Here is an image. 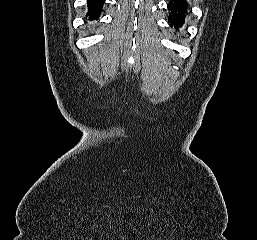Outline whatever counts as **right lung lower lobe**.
I'll return each mask as SVG.
<instances>
[{"label": "right lung lower lobe", "instance_id": "1", "mask_svg": "<svg viewBox=\"0 0 257 240\" xmlns=\"http://www.w3.org/2000/svg\"><path fill=\"white\" fill-rule=\"evenodd\" d=\"M104 3L105 0H88V12L86 17L89 16V20L98 19Z\"/></svg>", "mask_w": 257, "mask_h": 240}]
</instances>
